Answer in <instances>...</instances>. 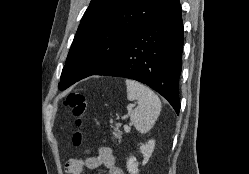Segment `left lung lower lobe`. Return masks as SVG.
I'll return each mask as SVG.
<instances>
[{
  "label": "left lung lower lobe",
  "instance_id": "left-lung-lower-lobe-1",
  "mask_svg": "<svg viewBox=\"0 0 249 174\" xmlns=\"http://www.w3.org/2000/svg\"><path fill=\"white\" fill-rule=\"evenodd\" d=\"M183 22L179 0H164L126 47L94 75L117 76L147 84L179 114Z\"/></svg>",
  "mask_w": 249,
  "mask_h": 174
}]
</instances>
